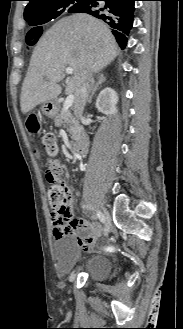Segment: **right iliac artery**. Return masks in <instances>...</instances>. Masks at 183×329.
Wrapping results in <instances>:
<instances>
[{
    "label": "right iliac artery",
    "instance_id": "right-iliac-artery-1",
    "mask_svg": "<svg viewBox=\"0 0 183 329\" xmlns=\"http://www.w3.org/2000/svg\"><path fill=\"white\" fill-rule=\"evenodd\" d=\"M97 217L102 223H104L105 219H104L103 214L100 211L97 212Z\"/></svg>",
    "mask_w": 183,
    "mask_h": 329
}]
</instances>
